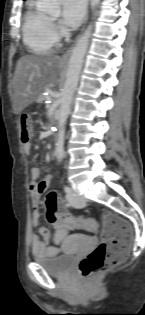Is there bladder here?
<instances>
[{
    "label": "bladder",
    "instance_id": "bladder-1",
    "mask_svg": "<svg viewBox=\"0 0 145 315\" xmlns=\"http://www.w3.org/2000/svg\"><path fill=\"white\" fill-rule=\"evenodd\" d=\"M75 249H93V248H75ZM36 262L41 264L49 274L53 276H65L74 267L76 256H65V253L57 255L50 259L36 258Z\"/></svg>",
    "mask_w": 145,
    "mask_h": 315
}]
</instances>
